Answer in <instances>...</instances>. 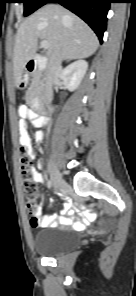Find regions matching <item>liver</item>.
Returning a JSON list of instances; mask_svg holds the SVG:
<instances>
[{
  "label": "liver",
  "mask_w": 136,
  "mask_h": 296,
  "mask_svg": "<svg viewBox=\"0 0 136 296\" xmlns=\"http://www.w3.org/2000/svg\"><path fill=\"white\" fill-rule=\"evenodd\" d=\"M38 39L49 42L48 57L60 51L64 60L83 59L94 54L99 41L78 16L57 4H47L19 27L14 45L13 70L18 87L26 64L37 51Z\"/></svg>",
  "instance_id": "obj_1"
}]
</instances>
